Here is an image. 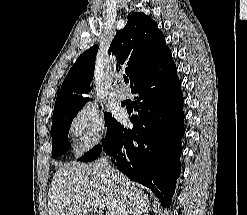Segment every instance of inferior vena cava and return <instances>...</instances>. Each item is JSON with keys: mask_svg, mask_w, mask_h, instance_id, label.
I'll list each match as a JSON object with an SVG mask.
<instances>
[{"mask_svg": "<svg viewBox=\"0 0 247 215\" xmlns=\"http://www.w3.org/2000/svg\"><path fill=\"white\" fill-rule=\"evenodd\" d=\"M100 164L111 175V178L116 181L117 175L115 174L114 169L109 164V158L107 156L101 157Z\"/></svg>", "mask_w": 247, "mask_h": 215, "instance_id": "obj_1", "label": "inferior vena cava"}]
</instances>
